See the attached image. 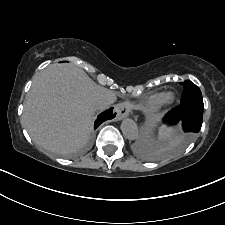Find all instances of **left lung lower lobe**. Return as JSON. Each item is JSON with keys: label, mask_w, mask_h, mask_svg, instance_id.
Instances as JSON below:
<instances>
[{"label": "left lung lower lobe", "mask_w": 225, "mask_h": 225, "mask_svg": "<svg viewBox=\"0 0 225 225\" xmlns=\"http://www.w3.org/2000/svg\"><path fill=\"white\" fill-rule=\"evenodd\" d=\"M203 110V102L182 103L168 112L165 118L173 123L181 121L184 132L194 135L201 129Z\"/></svg>", "instance_id": "obj_1"}]
</instances>
